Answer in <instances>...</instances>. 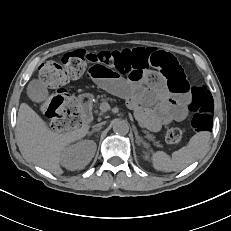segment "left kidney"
<instances>
[{
	"label": "left kidney",
	"mask_w": 231,
	"mask_h": 231,
	"mask_svg": "<svg viewBox=\"0 0 231 231\" xmlns=\"http://www.w3.org/2000/svg\"><path fill=\"white\" fill-rule=\"evenodd\" d=\"M148 158V156H147V154H145V159H147Z\"/></svg>",
	"instance_id": "obj_1"
}]
</instances>
